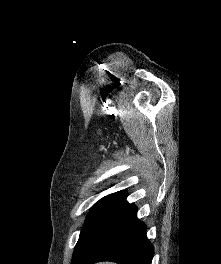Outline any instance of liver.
<instances>
[{"label": "liver", "instance_id": "obj_1", "mask_svg": "<svg viewBox=\"0 0 221 264\" xmlns=\"http://www.w3.org/2000/svg\"><path fill=\"white\" fill-rule=\"evenodd\" d=\"M98 264H114V263H110V262H103V263H98Z\"/></svg>", "mask_w": 221, "mask_h": 264}]
</instances>
